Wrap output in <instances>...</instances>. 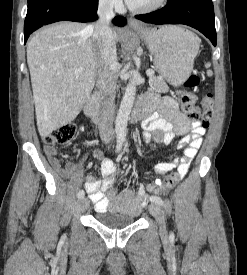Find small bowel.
Listing matches in <instances>:
<instances>
[{
    "instance_id": "c3829d8e",
    "label": "small bowel",
    "mask_w": 247,
    "mask_h": 275,
    "mask_svg": "<svg viewBox=\"0 0 247 275\" xmlns=\"http://www.w3.org/2000/svg\"><path fill=\"white\" fill-rule=\"evenodd\" d=\"M142 103L148 114L144 121L145 131L142 135L144 141L170 145L176 136H181L177 148L184 149L183 156H177L169 162L158 163L157 172L165 175L177 168L178 176L184 177L202 145L206 128L199 120L190 119L183 114L178 104L171 98L147 95ZM44 151L51 166L60 176L75 182L80 180V168L75 163H63L57 156V149L51 145H46ZM93 155L101 161L102 178L98 179L88 174L84 186L89 199L95 205L96 212L117 211L138 214L147 203L148 194L145 186L140 185L136 191L129 189L117 191L114 189L116 168L112 160L105 158L99 150Z\"/></svg>"
}]
</instances>
